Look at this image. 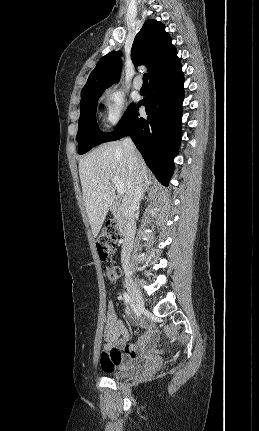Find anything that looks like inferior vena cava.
Listing matches in <instances>:
<instances>
[{
    "mask_svg": "<svg viewBox=\"0 0 259 431\" xmlns=\"http://www.w3.org/2000/svg\"><path fill=\"white\" fill-rule=\"evenodd\" d=\"M123 147L127 156L130 172L133 176L132 186L124 198V215L126 218V227L124 232L121 259L124 264H128L136 232L134 214L139 208L140 200L143 194V178L139 168L138 152L136 151L134 143L130 137L124 138Z\"/></svg>",
    "mask_w": 259,
    "mask_h": 431,
    "instance_id": "obj_1",
    "label": "inferior vena cava"
}]
</instances>
